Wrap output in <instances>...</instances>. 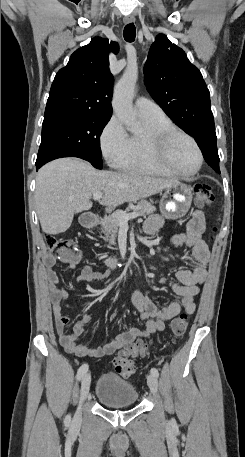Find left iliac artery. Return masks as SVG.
Returning <instances> with one entry per match:
<instances>
[{
	"mask_svg": "<svg viewBox=\"0 0 245 457\" xmlns=\"http://www.w3.org/2000/svg\"><path fill=\"white\" fill-rule=\"evenodd\" d=\"M150 372H151V374H153V375L156 376V377L159 376V372H158V369H157V368H152Z\"/></svg>",
	"mask_w": 245,
	"mask_h": 457,
	"instance_id": "1",
	"label": "left iliac artery"
}]
</instances>
